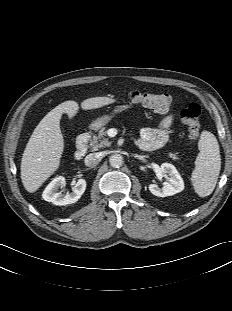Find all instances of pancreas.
Listing matches in <instances>:
<instances>
[{"mask_svg": "<svg viewBox=\"0 0 232 311\" xmlns=\"http://www.w3.org/2000/svg\"><path fill=\"white\" fill-rule=\"evenodd\" d=\"M106 131L105 127H102L97 135H93V137L90 139V147L93 151H97L100 148H103L105 146H110L111 142L108 141L106 138ZM178 153H169V157L173 160L179 159L177 156Z\"/></svg>", "mask_w": 232, "mask_h": 311, "instance_id": "pancreas-1", "label": "pancreas"}]
</instances>
